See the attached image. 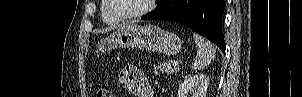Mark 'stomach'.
I'll list each match as a JSON object with an SVG mask.
<instances>
[{
    "instance_id": "0dacf381",
    "label": "stomach",
    "mask_w": 302,
    "mask_h": 97,
    "mask_svg": "<svg viewBox=\"0 0 302 97\" xmlns=\"http://www.w3.org/2000/svg\"><path fill=\"white\" fill-rule=\"evenodd\" d=\"M181 39L155 25L127 24L108 38H102L96 42L97 52L104 54L115 47L129 48L140 47L149 52L175 55L182 49Z\"/></svg>"
}]
</instances>
